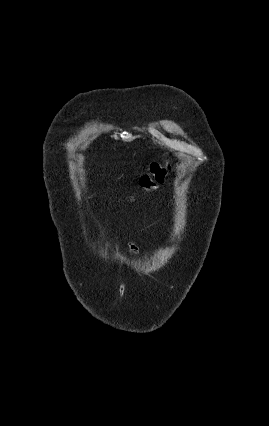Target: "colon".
Instances as JSON below:
<instances>
[{"mask_svg":"<svg viewBox=\"0 0 269 426\" xmlns=\"http://www.w3.org/2000/svg\"><path fill=\"white\" fill-rule=\"evenodd\" d=\"M169 167V163L154 162L150 167V173L140 178V186L148 192L153 191L163 183Z\"/></svg>","mask_w":269,"mask_h":426,"instance_id":"colon-1","label":"colon"}]
</instances>
